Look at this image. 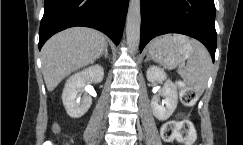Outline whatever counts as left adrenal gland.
<instances>
[{"label":"left adrenal gland","mask_w":243,"mask_h":145,"mask_svg":"<svg viewBox=\"0 0 243 145\" xmlns=\"http://www.w3.org/2000/svg\"><path fill=\"white\" fill-rule=\"evenodd\" d=\"M150 60V57L149 55L147 56V58L145 59V62L149 61Z\"/></svg>","instance_id":"obj_1"}]
</instances>
